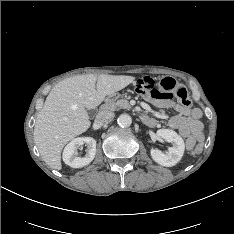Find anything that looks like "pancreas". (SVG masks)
Segmentation results:
<instances>
[{
    "label": "pancreas",
    "mask_w": 234,
    "mask_h": 234,
    "mask_svg": "<svg viewBox=\"0 0 234 234\" xmlns=\"http://www.w3.org/2000/svg\"><path fill=\"white\" fill-rule=\"evenodd\" d=\"M104 109L115 111L120 109H131V105L126 99L118 100L117 102L108 101L103 106Z\"/></svg>",
    "instance_id": "1"
}]
</instances>
